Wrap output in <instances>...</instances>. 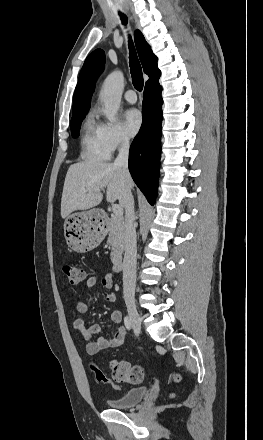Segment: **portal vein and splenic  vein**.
<instances>
[{"mask_svg": "<svg viewBox=\"0 0 263 440\" xmlns=\"http://www.w3.org/2000/svg\"><path fill=\"white\" fill-rule=\"evenodd\" d=\"M113 213L116 217H122L123 216V208L121 205L113 204L112 205Z\"/></svg>", "mask_w": 263, "mask_h": 440, "instance_id": "obj_1", "label": "portal vein and splenic vein"}]
</instances>
